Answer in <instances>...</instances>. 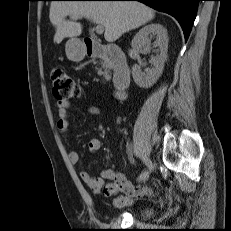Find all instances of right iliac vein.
I'll list each match as a JSON object with an SVG mask.
<instances>
[{
	"label": "right iliac vein",
	"mask_w": 231,
	"mask_h": 231,
	"mask_svg": "<svg viewBox=\"0 0 231 231\" xmlns=\"http://www.w3.org/2000/svg\"><path fill=\"white\" fill-rule=\"evenodd\" d=\"M147 167H148L150 170H154V166H153V164H152V162H151L150 159H147Z\"/></svg>",
	"instance_id": "63e3f726"
}]
</instances>
